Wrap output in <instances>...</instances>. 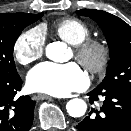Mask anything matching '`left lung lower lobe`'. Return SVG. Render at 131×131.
I'll return each instance as SVG.
<instances>
[{
  "mask_svg": "<svg viewBox=\"0 0 131 131\" xmlns=\"http://www.w3.org/2000/svg\"><path fill=\"white\" fill-rule=\"evenodd\" d=\"M88 95L91 103L103 96V105L91 109L78 131H131V90L97 87Z\"/></svg>",
  "mask_w": 131,
  "mask_h": 131,
  "instance_id": "left-lung-lower-lobe-1",
  "label": "left lung lower lobe"
}]
</instances>
